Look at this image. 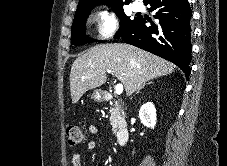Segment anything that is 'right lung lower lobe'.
Returning a JSON list of instances; mask_svg holds the SVG:
<instances>
[{
    "mask_svg": "<svg viewBox=\"0 0 227 166\" xmlns=\"http://www.w3.org/2000/svg\"><path fill=\"white\" fill-rule=\"evenodd\" d=\"M158 22L139 17L120 37L131 45L149 51L180 67L189 78L191 68L192 15L188 0H147ZM150 22L151 26H146Z\"/></svg>",
    "mask_w": 227,
    "mask_h": 166,
    "instance_id": "98d812e1",
    "label": "right lung lower lobe"
}]
</instances>
